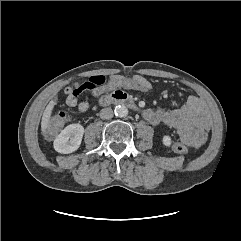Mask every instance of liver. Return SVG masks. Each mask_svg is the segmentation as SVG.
<instances>
[{
    "label": "liver",
    "mask_w": 241,
    "mask_h": 241,
    "mask_svg": "<svg viewBox=\"0 0 241 241\" xmlns=\"http://www.w3.org/2000/svg\"><path fill=\"white\" fill-rule=\"evenodd\" d=\"M55 105H56V100L55 99L51 100L49 102V104L46 106V108L43 112V116H42V120H41V130H42V132H45L46 129L48 128V125L50 123L52 110H53Z\"/></svg>",
    "instance_id": "1"
}]
</instances>
